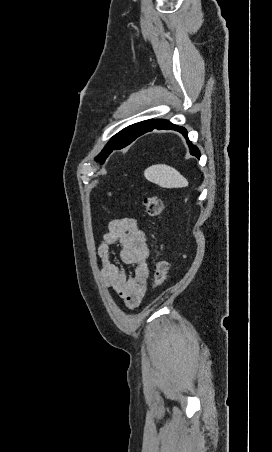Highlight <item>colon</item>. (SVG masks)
I'll return each instance as SVG.
<instances>
[{
  "label": "colon",
  "instance_id": "5ec220e1",
  "mask_svg": "<svg viewBox=\"0 0 272 452\" xmlns=\"http://www.w3.org/2000/svg\"><path fill=\"white\" fill-rule=\"evenodd\" d=\"M144 209L150 217H159L163 210V203L156 195L144 197L142 200ZM169 263L166 260H159L155 267L153 287L155 289L162 286L167 278Z\"/></svg>",
  "mask_w": 272,
  "mask_h": 452
}]
</instances>
